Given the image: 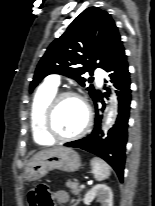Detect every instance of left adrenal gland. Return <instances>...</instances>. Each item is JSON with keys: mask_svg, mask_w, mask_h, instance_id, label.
Masks as SVG:
<instances>
[{"mask_svg": "<svg viewBox=\"0 0 155 206\" xmlns=\"http://www.w3.org/2000/svg\"><path fill=\"white\" fill-rule=\"evenodd\" d=\"M80 201V198L76 200V203H78Z\"/></svg>", "mask_w": 155, "mask_h": 206, "instance_id": "a2214340", "label": "left adrenal gland"}]
</instances>
